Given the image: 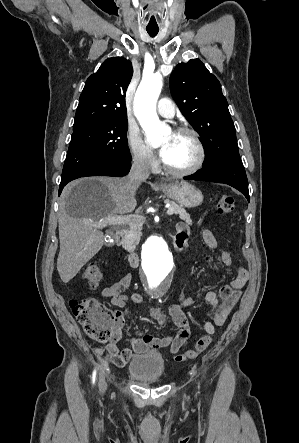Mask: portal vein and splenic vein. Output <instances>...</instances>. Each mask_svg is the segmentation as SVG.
Here are the masks:
<instances>
[{
  "mask_svg": "<svg viewBox=\"0 0 299 443\" xmlns=\"http://www.w3.org/2000/svg\"><path fill=\"white\" fill-rule=\"evenodd\" d=\"M173 214H174V211L172 209L168 208L167 215L171 216ZM138 218H144V217L141 215H126V216L113 215V216H109L107 218H104L98 222H89V224L94 227H97V228H102L108 224H111V225L130 224Z\"/></svg>",
  "mask_w": 299,
  "mask_h": 443,
  "instance_id": "obj_1",
  "label": "portal vein and splenic vein"
}]
</instances>
